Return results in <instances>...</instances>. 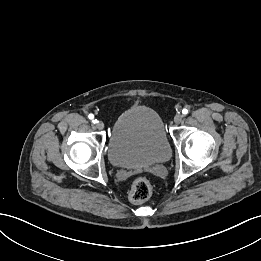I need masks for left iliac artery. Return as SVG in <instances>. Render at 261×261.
<instances>
[{
	"label": "left iliac artery",
	"mask_w": 261,
	"mask_h": 261,
	"mask_svg": "<svg viewBox=\"0 0 261 261\" xmlns=\"http://www.w3.org/2000/svg\"><path fill=\"white\" fill-rule=\"evenodd\" d=\"M182 114H184V115L188 114V109L184 108V109L182 110Z\"/></svg>",
	"instance_id": "44dca946"
}]
</instances>
